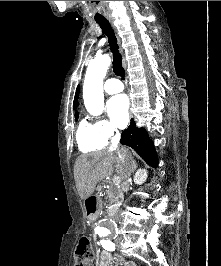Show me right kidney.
Instances as JSON below:
<instances>
[{
	"instance_id": "obj_1",
	"label": "right kidney",
	"mask_w": 221,
	"mask_h": 266,
	"mask_svg": "<svg viewBox=\"0 0 221 266\" xmlns=\"http://www.w3.org/2000/svg\"><path fill=\"white\" fill-rule=\"evenodd\" d=\"M147 179V170L146 169H139L134 176V182L137 185L143 184Z\"/></svg>"
}]
</instances>
